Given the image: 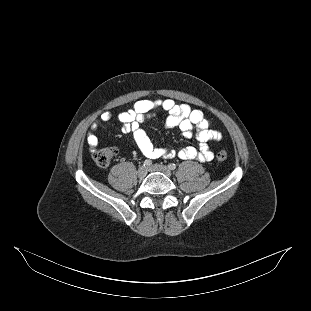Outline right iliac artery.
Returning <instances> with one entry per match:
<instances>
[{"instance_id":"1","label":"right iliac artery","mask_w":311,"mask_h":311,"mask_svg":"<svg viewBox=\"0 0 311 311\" xmlns=\"http://www.w3.org/2000/svg\"><path fill=\"white\" fill-rule=\"evenodd\" d=\"M151 165H152L151 160H145L144 163H143V166H144V167H149V166H151Z\"/></svg>"}]
</instances>
